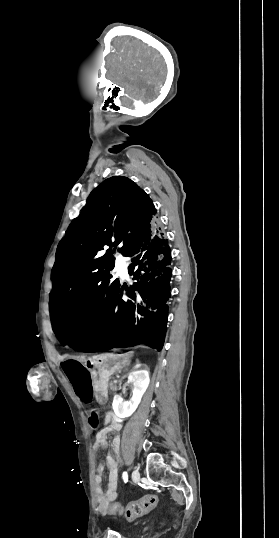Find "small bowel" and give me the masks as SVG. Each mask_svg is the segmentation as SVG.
Segmentation results:
<instances>
[{"label":"small bowel","instance_id":"c3829d8e","mask_svg":"<svg viewBox=\"0 0 279 538\" xmlns=\"http://www.w3.org/2000/svg\"><path fill=\"white\" fill-rule=\"evenodd\" d=\"M66 376L77 398L84 404L91 403L94 398L93 376L86 369L67 371ZM104 424L105 426L96 434L95 450L105 449L108 445L109 434L121 428L120 423L110 415L106 416ZM89 425L91 428H96L99 425V415L97 412L91 413ZM111 447L113 454L106 457V467L108 469V485L106 491L102 487L103 464L97 467V475L95 477L96 501L99 509L107 508L110 502L117 498L118 465L116 458L119 457L121 451L120 436L113 438Z\"/></svg>","mask_w":279,"mask_h":538}]
</instances>
